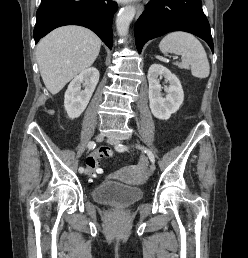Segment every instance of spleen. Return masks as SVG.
<instances>
[{"instance_id":"3e777b00","label":"spleen","mask_w":248,"mask_h":258,"mask_svg":"<svg viewBox=\"0 0 248 258\" xmlns=\"http://www.w3.org/2000/svg\"><path fill=\"white\" fill-rule=\"evenodd\" d=\"M163 54L174 53L182 56L181 67L190 69L194 77L204 79L209 76L210 65L204 47L192 34L175 31L167 34L160 42Z\"/></svg>"}]
</instances>
